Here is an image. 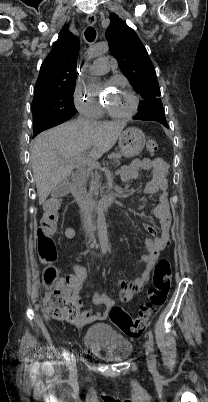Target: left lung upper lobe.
Masks as SVG:
<instances>
[{
    "mask_svg": "<svg viewBox=\"0 0 208 402\" xmlns=\"http://www.w3.org/2000/svg\"><path fill=\"white\" fill-rule=\"evenodd\" d=\"M106 38L121 71L144 99L134 119L167 125L155 69L136 32L116 14H111Z\"/></svg>",
    "mask_w": 208,
    "mask_h": 402,
    "instance_id": "5c2ea615",
    "label": "left lung upper lobe"
}]
</instances>
